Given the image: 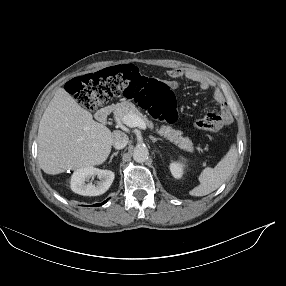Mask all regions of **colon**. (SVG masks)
Segmentation results:
<instances>
[{
  "label": "colon",
  "mask_w": 286,
  "mask_h": 286,
  "mask_svg": "<svg viewBox=\"0 0 286 286\" xmlns=\"http://www.w3.org/2000/svg\"><path fill=\"white\" fill-rule=\"evenodd\" d=\"M69 92L79 103L95 110L111 98H135L153 117L174 123L177 120L175 98L167 83L144 76L132 65L115 66L75 78L69 82ZM222 126L216 111H210L195 122L200 130L217 131Z\"/></svg>",
  "instance_id": "1"
}]
</instances>
